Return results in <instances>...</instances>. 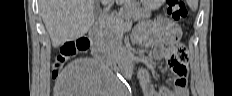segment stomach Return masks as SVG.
I'll return each instance as SVG.
<instances>
[{
	"label": "stomach",
	"mask_w": 232,
	"mask_h": 96,
	"mask_svg": "<svg viewBox=\"0 0 232 96\" xmlns=\"http://www.w3.org/2000/svg\"><path fill=\"white\" fill-rule=\"evenodd\" d=\"M164 1L163 0H142L145 9L151 10L158 8Z\"/></svg>",
	"instance_id": "stomach-1"
}]
</instances>
